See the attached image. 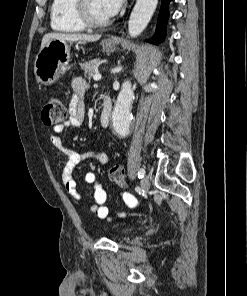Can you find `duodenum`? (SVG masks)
Listing matches in <instances>:
<instances>
[{"label": "duodenum", "mask_w": 247, "mask_h": 296, "mask_svg": "<svg viewBox=\"0 0 247 296\" xmlns=\"http://www.w3.org/2000/svg\"><path fill=\"white\" fill-rule=\"evenodd\" d=\"M102 111L100 114V122L103 128L107 129L110 126L111 114H112V101L108 95L102 96Z\"/></svg>", "instance_id": "410a0bca"}]
</instances>
